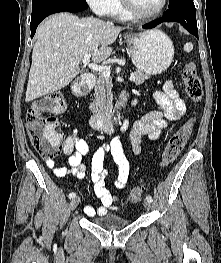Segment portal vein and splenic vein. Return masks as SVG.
<instances>
[{
    "instance_id": "portal-vein-and-splenic-vein-1",
    "label": "portal vein and splenic vein",
    "mask_w": 221,
    "mask_h": 263,
    "mask_svg": "<svg viewBox=\"0 0 221 263\" xmlns=\"http://www.w3.org/2000/svg\"><path fill=\"white\" fill-rule=\"evenodd\" d=\"M90 58H91V54H86L84 57H83V64L84 65H87L90 69L94 70V71H97L99 73H101L104 77H109L110 74H111V71H110V68L107 67V66H101V65H98L96 63H90ZM135 75L134 74H131L130 76V81H134L135 80Z\"/></svg>"
}]
</instances>
